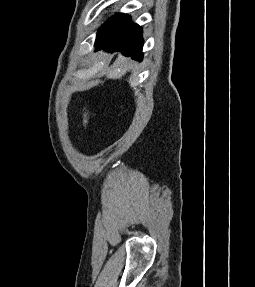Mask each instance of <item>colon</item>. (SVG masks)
I'll return each mask as SVG.
<instances>
[{"mask_svg": "<svg viewBox=\"0 0 255 287\" xmlns=\"http://www.w3.org/2000/svg\"><path fill=\"white\" fill-rule=\"evenodd\" d=\"M82 117H83L84 130H87L89 127L90 116H89V113L85 107L82 109Z\"/></svg>", "mask_w": 255, "mask_h": 287, "instance_id": "5ec220e1", "label": "colon"}]
</instances>
